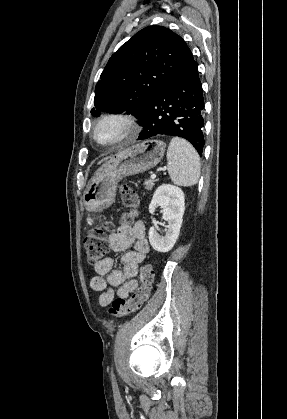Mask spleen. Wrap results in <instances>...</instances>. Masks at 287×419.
<instances>
[{
  "mask_svg": "<svg viewBox=\"0 0 287 419\" xmlns=\"http://www.w3.org/2000/svg\"><path fill=\"white\" fill-rule=\"evenodd\" d=\"M167 170L174 184L193 186L200 177V158L194 147L186 140L174 137L167 150Z\"/></svg>",
  "mask_w": 287,
  "mask_h": 419,
  "instance_id": "obj_1",
  "label": "spleen"
}]
</instances>
